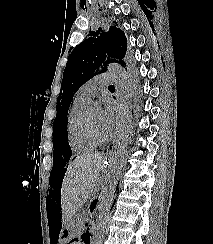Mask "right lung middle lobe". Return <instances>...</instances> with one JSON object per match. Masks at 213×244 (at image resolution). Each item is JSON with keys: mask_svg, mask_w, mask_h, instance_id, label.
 Instances as JSON below:
<instances>
[{"mask_svg": "<svg viewBox=\"0 0 213 244\" xmlns=\"http://www.w3.org/2000/svg\"><path fill=\"white\" fill-rule=\"evenodd\" d=\"M57 146H58L57 140L55 138H53L54 156H53V168L51 170V174H53L54 172H57L61 168V166L65 165V163H63V158L61 157V154H59V152H57ZM67 148H69L68 144H67ZM69 150H70V148H69ZM63 151H66V149L62 145L61 153L64 155ZM67 160H66V158L64 156V161H67Z\"/></svg>", "mask_w": 213, "mask_h": 244, "instance_id": "dd1d6c3e", "label": "right lung middle lobe"}]
</instances>
